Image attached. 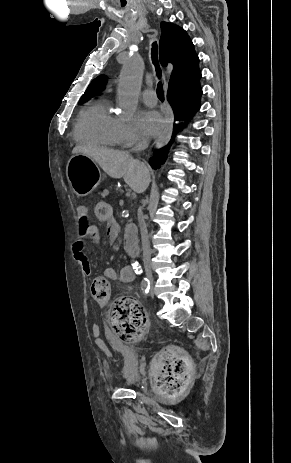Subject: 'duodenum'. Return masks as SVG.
I'll list each match as a JSON object with an SVG mask.
<instances>
[{
    "label": "duodenum",
    "instance_id": "obj_1",
    "mask_svg": "<svg viewBox=\"0 0 291 463\" xmlns=\"http://www.w3.org/2000/svg\"><path fill=\"white\" fill-rule=\"evenodd\" d=\"M137 241H138V234H137V230L135 226L132 224L126 225L125 226V238L123 241V247L125 248V250L136 254L137 253V250H136Z\"/></svg>",
    "mask_w": 291,
    "mask_h": 463
}]
</instances>
